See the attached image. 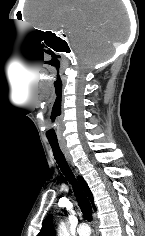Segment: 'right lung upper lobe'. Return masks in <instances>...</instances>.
I'll use <instances>...</instances> for the list:
<instances>
[{
	"label": "right lung upper lobe",
	"mask_w": 145,
	"mask_h": 236,
	"mask_svg": "<svg viewBox=\"0 0 145 236\" xmlns=\"http://www.w3.org/2000/svg\"><path fill=\"white\" fill-rule=\"evenodd\" d=\"M78 181H79L80 185L82 186V188L84 189V191L86 192L90 201L92 202L93 208L96 209V207L94 206V203H93L92 193H91L87 183L85 182V180L81 176L78 177ZM37 236H55V230L53 228V222H52V215H49L45 218V220L42 223L41 231L39 232V234Z\"/></svg>",
	"instance_id": "cb5924a9"
}]
</instances>
